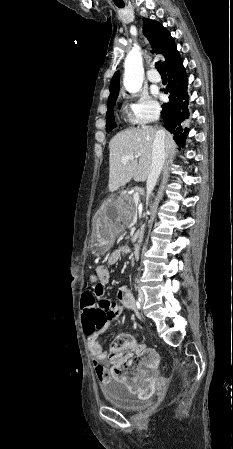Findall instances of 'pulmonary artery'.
I'll list each match as a JSON object with an SVG mask.
<instances>
[{
	"instance_id": "pulmonary-artery-1",
	"label": "pulmonary artery",
	"mask_w": 233,
	"mask_h": 449,
	"mask_svg": "<svg viewBox=\"0 0 233 449\" xmlns=\"http://www.w3.org/2000/svg\"><path fill=\"white\" fill-rule=\"evenodd\" d=\"M147 77H148L149 81H151L153 83H158L161 81V76L159 75L158 72H156L153 69L148 71Z\"/></svg>"
}]
</instances>
